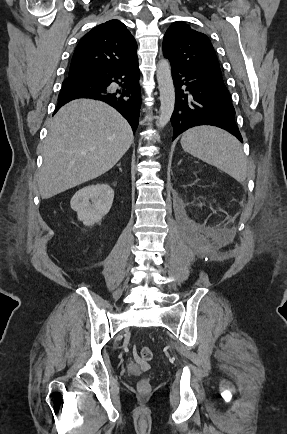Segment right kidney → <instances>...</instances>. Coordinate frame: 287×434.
<instances>
[{
	"label": "right kidney",
	"mask_w": 287,
	"mask_h": 434,
	"mask_svg": "<svg viewBox=\"0 0 287 434\" xmlns=\"http://www.w3.org/2000/svg\"><path fill=\"white\" fill-rule=\"evenodd\" d=\"M113 198V189L108 184L98 183L78 190L70 205L77 212L79 221L86 226H92L109 212Z\"/></svg>",
	"instance_id": "ca27d5eb"
}]
</instances>
